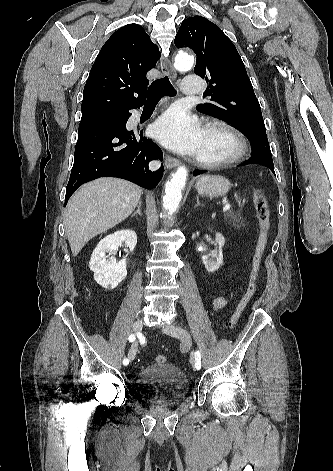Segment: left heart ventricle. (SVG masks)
Here are the masks:
<instances>
[{"label": "left heart ventricle", "mask_w": 333, "mask_h": 471, "mask_svg": "<svg viewBox=\"0 0 333 471\" xmlns=\"http://www.w3.org/2000/svg\"><path fill=\"white\" fill-rule=\"evenodd\" d=\"M232 150L231 140L219 130L204 131L197 155L205 158H221Z\"/></svg>", "instance_id": "obj_1"}]
</instances>
